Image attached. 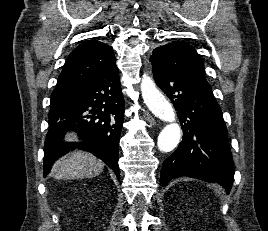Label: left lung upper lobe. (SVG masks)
<instances>
[{
	"mask_svg": "<svg viewBox=\"0 0 268 231\" xmlns=\"http://www.w3.org/2000/svg\"><path fill=\"white\" fill-rule=\"evenodd\" d=\"M151 59L173 71L210 86L204 73V64L195 48L183 41H173L152 52Z\"/></svg>",
	"mask_w": 268,
	"mask_h": 231,
	"instance_id": "obj_1",
	"label": "left lung upper lobe"
}]
</instances>
